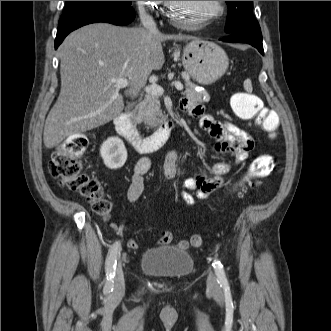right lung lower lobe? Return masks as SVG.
<instances>
[{
  "label": "right lung lower lobe",
  "instance_id": "1",
  "mask_svg": "<svg viewBox=\"0 0 331 331\" xmlns=\"http://www.w3.org/2000/svg\"><path fill=\"white\" fill-rule=\"evenodd\" d=\"M135 18V12L131 6L119 7L108 10H101L94 13L86 14L70 22L60 24L57 29L55 39V49L61 44L64 38L73 30L87 24L96 22H106L118 26H125L131 23Z\"/></svg>",
  "mask_w": 331,
  "mask_h": 331
}]
</instances>
